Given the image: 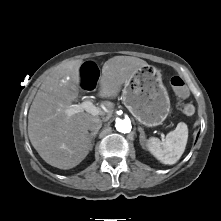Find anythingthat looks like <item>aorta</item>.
Listing matches in <instances>:
<instances>
[{
  "mask_svg": "<svg viewBox=\"0 0 221 221\" xmlns=\"http://www.w3.org/2000/svg\"><path fill=\"white\" fill-rule=\"evenodd\" d=\"M115 127L116 130L121 133H129L131 131V123L125 120H117Z\"/></svg>",
  "mask_w": 221,
  "mask_h": 221,
  "instance_id": "obj_1",
  "label": "aorta"
}]
</instances>
